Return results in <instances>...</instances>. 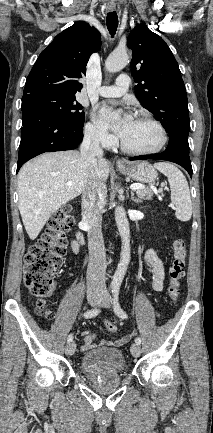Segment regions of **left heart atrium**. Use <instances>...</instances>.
<instances>
[{
    "mask_svg": "<svg viewBox=\"0 0 213 433\" xmlns=\"http://www.w3.org/2000/svg\"><path fill=\"white\" fill-rule=\"evenodd\" d=\"M98 120L103 126L112 128L121 138L134 121L130 114H123L122 116L117 117L115 109L109 105H104L101 108Z\"/></svg>",
    "mask_w": 213,
    "mask_h": 433,
    "instance_id": "obj_1",
    "label": "left heart atrium"
}]
</instances>
